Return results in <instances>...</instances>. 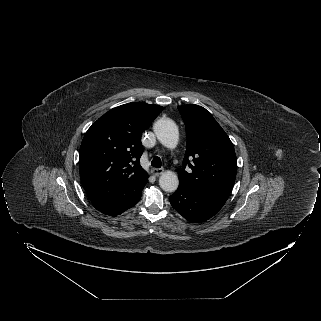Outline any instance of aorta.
Masks as SVG:
<instances>
[{
    "label": "aorta",
    "instance_id": "aorta-1",
    "mask_svg": "<svg viewBox=\"0 0 321 321\" xmlns=\"http://www.w3.org/2000/svg\"><path fill=\"white\" fill-rule=\"evenodd\" d=\"M153 130L162 145L169 149L176 148L179 141V131L173 120L160 119L154 124ZM159 185L166 192L176 191L179 185L177 174L170 170L163 172L159 178Z\"/></svg>",
    "mask_w": 321,
    "mask_h": 321
}]
</instances>
